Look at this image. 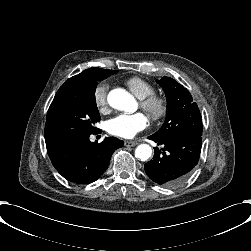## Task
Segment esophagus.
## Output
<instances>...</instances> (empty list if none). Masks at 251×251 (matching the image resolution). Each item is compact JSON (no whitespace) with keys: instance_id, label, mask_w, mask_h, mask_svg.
<instances>
[{"instance_id":"esophagus-1","label":"esophagus","mask_w":251,"mask_h":251,"mask_svg":"<svg viewBox=\"0 0 251 251\" xmlns=\"http://www.w3.org/2000/svg\"><path fill=\"white\" fill-rule=\"evenodd\" d=\"M138 143L137 142H134V141H125L124 142V145L126 147H133V146H136Z\"/></svg>"}]
</instances>
